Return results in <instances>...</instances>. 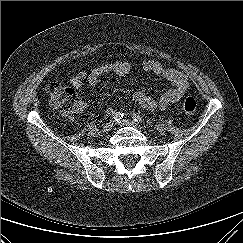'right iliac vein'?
Listing matches in <instances>:
<instances>
[{"label": "right iliac vein", "instance_id": "obj_1", "mask_svg": "<svg viewBox=\"0 0 243 243\" xmlns=\"http://www.w3.org/2000/svg\"><path fill=\"white\" fill-rule=\"evenodd\" d=\"M113 127V122H108L105 124V126L102 129L103 133L109 132Z\"/></svg>", "mask_w": 243, "mask_h": 243}]
</instances>
